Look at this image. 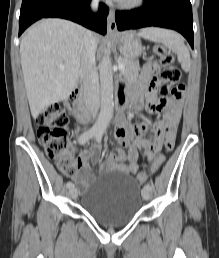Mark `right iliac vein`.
I'll return each mask as SVG.
<instances>
[{
	"label": "right iliac vein",
	"instance_id": "obj_1",
	"mask_svg": "<svg viewBox=\"0 0 219 258\" xmlns=\"http://www.w3.org/2000/svg\"><path fill=\"white\" fill-rule=\"evenodd\" d=\"M69 195L71 198L75 199L78 195V190L76 187L72 186L70 189H69Z\"/></svg>",
	"mask_w": 219,
	"mask_h": 258
}]
</instances>
